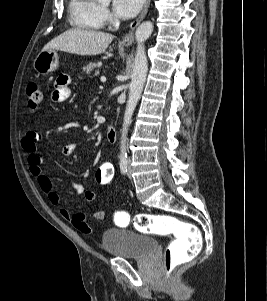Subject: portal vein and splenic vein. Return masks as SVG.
Wrapping results in <instances>:
<instances>
[{
    "mask_svg": "<svg viewBox=\"0 0 267 301\" xmlns=\"http://www.w3.org/2000/svg\"><path fill=\"white\" fill-rule=\"evenodd\" d=\"M100 80H101V82H105V81H106V77H105V76H102V77L100 78Z\"/></svg>",
    "mask_w": 267,
    "mask_h": 301,
    "instance_id": "18ae733b",
    "label": "portal vein and splenic vein"
}]
</instances>
